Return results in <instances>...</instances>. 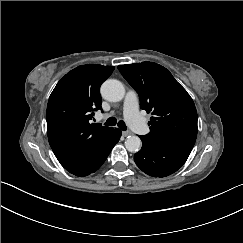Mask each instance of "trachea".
I'll use <instances>...</instances> for the list:
<instances>
[{"instance_id":"1","label":"trachea","mask_w":243,"mask_h":243,"mask_svg":"<svg viewBox=\"0 0 243 243\" xmlns=\"http://www.w3.org/2000/svg\"><path fill=\"white\" fill-rule=\"evenodd\" d=\"M116 123H117L116 118H114V117H110V118L104 123V125H106V126H115ZM117 125H118V127H119L121 130H124V131H125V130L127 129V127H126V125H125V122H124L123 120L118 121Z\"/></svg>"}]
</instances>
